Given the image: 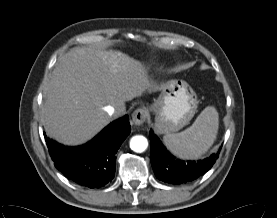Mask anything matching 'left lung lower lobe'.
<instances>
[{
	"instance_id": "obj_1",
	"label": "left lung lower lobe",
	"mask_w": 277,
	"mask_h": 218,
	"mask_svg": "<svg viewBox=\"0 0 277 218\" xmlns=\"http://www.w3.org/2000/svg\"><path fill=\"white\" fill-rule=\"evenodd\" d=\"M149 138L151 142L150 159L155 176L169 184H181L197 179L212 167L219 156L218 152L200 162L180 161L166 150L153 131H150Z\"/></svg>"
}]
</instances>
